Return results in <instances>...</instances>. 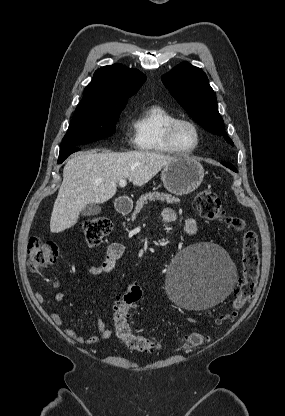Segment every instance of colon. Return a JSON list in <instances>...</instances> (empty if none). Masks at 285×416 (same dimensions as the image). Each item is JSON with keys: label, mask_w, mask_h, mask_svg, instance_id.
<instances>
[{"label": "colon", "mask_w": 285, "mask_h": 416, "mask_svg": "<svg viewBox=\"0 0 285 416\" xmlns=\"http://www.w3.org/2000/svg\"><path fill=\"white\" fill-rule=\"evenodd\" d=\"M197 214L208 221L224 223L242 234L243 274L235 298L228 313L220 321L231 319L254 296L260 275V254L258 239L252 230L245 227L241 219L227 217L218 196L210 189L198 192L193 200ZM112 224L103 217L88 218L81 222L80 229L86 243L98 246L110 232ZM28 269L34 275H40L54 264L58 258V247L53 241L40 236H31L28 242ZM142 297V289L130 284L119 297L113 308L115 335L126 347L140 353H152L160 349V343L135 331L131 326V312ZM208 337L201 332H191L184 339L185 347L202 345Z\"/></svg>", "instance_id": "5ec220e1"}]
</instances>
